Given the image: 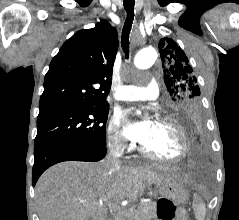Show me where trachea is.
Segmentation results:
<instances>
[{
  "instance_id": "3493384b",
  "label": "trachea",
  "mask_w": 239,
  "mask_h": 220,
  "mask_svg": "<svg viewBox=\"0 0 239 220\" xmlns=\"http://www.w3.org/2000/svg\"><path fill=\"white\" fill-rule=\"evenodd\" d=\"M123 5L127 13L126 21L124 23L121 44L126 58L129 56V34L132 27V22L134 18V5L135 0H123Z\"/></svg>"
}]
</instances>
